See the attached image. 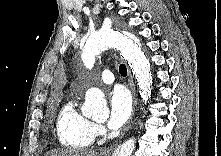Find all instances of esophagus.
<instances>
[{
  "instance_id": "esophagus-1",
  "label": "esophagus",
  "mask_w": 221,
  "mask_h": 156,
  "mask_svg": "<svg viewBox=\"0 0 221 156\" xmlns=\"http://www.w3.org/2000/svg\"><path fill=\"white\" fill-rule=\"evenodd\" d=\"M128 80H129L130 90H131L132 96H133V104H134V112H135L136 105H137L136 90H135V84H134L133 76H132L131 71L129 70V68H128ZM113 150H114V146L107 147L104 150H102L101 156H110L111 153L113 152Z\"/></svg>"
}]
</instances>
